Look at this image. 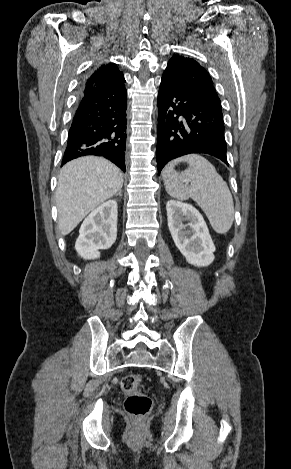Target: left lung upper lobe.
<instances>
[{
    "instance_id": "obj_1",
    "label": "left lung upper lobe",
    "mask_w": 291,
    "mask_h": 469,
    "mask_svg": "<svg viewBox=\"0 0 291 469\" xmlns=\"http://www.w3.org/2000/svg\"><path fill=\"white\" fill-rule=\"evenodd\" d=\"M163 75L171 76L180 84L221 103L209 73L194 59L179 55L173 56Z\"/></svg>"
}]
</instances>
